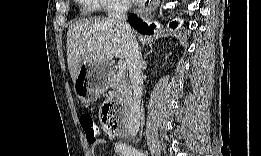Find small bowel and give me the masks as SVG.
<instances>
[{
    "label": "small bowel",
    "instance_id": "1",
    "mask_svg": "<svg viewBox=\"0 0 261 156\" xmlns=\"http://www.w3.org/2000/svg\"><path fill=\"white\" fill-rule=\"evenodd\" d=\"M105 143V140L104 139H99L96 143V145H102ZM118 153V152H117ZM119 154V153H118ZM120 155V154H119Z\"/></svg>",
    "mask_w": 261,
    "mask_h": 156
}]
</instances>
